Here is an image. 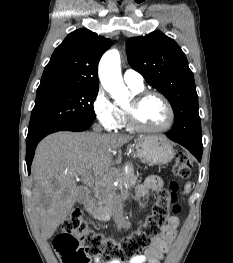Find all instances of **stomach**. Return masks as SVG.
Wrapping results in <instances>:
<instances>
[{
	"instance_id": "obj_1",
	"label": "stomach",
	"mask_w": 233,
	"mask_h": 263,
	"mask_svg": "<svg viewBox=\"0 0 233 263\" xmlns=\"http://www.w3.org/2000/svg\"><path fill=\"white\" fill-rule=\"evenodd\" d=\"M134 150L135 155L147 164H166L174 157L172 146L161 136H140L135 140Z\"/></svg>"
}]
</instances>
